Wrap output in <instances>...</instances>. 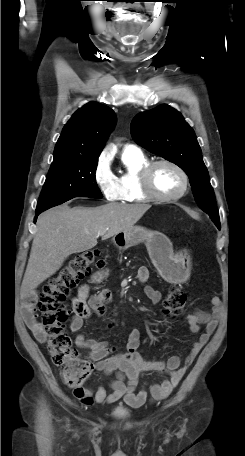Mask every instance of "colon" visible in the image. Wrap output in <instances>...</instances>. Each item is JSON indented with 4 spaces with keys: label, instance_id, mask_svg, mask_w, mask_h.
<instances>
[{
    "label": "colon",
    "instance_id": "obj_1",
    "mask_svg": "<svg viewBox=\"0 0 245 456\" xmlns=\"http://www.w3.org/2000/svg\"><path fill=\"white\" fill-rule=\"evenodd\" d=\"M104 259L98 250H88L73 257L58 274L43 287L39 310L47 333V348L53 363L62 369V378L69 387L81 386L93 371V364L79 357L64 322L68 312L64 303L69 293L89 275L92 266L102 267ZM187 297L179 287L170 288L164 300V313L178 315Z\"/></svg>",
    "mask_w": 245,
    "mask_h": 456
}]
</instances>
